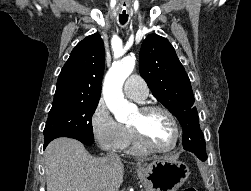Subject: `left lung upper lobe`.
I'll return each instance as SVG.
<instances>
[{
  "mask_svg": "<svg viewBox=\"0 0 251 191\" xmlns=\"http://www.w3.org/2000/svg\"><path fill=\"white\" fill-rule=\"evenodd\" d=\"M139 71L153 96L178 118L183 128V148L205 161V140L194 107L191 83L166 38L156 34L147 36L140 49Z\"/></svg>",
  "mask_w": 251,
  "mask_h": 191,
  "instance_id": "left-lung-upper-lobe-1",
  "label": "left lung upper lobe"
}]
</instances>
